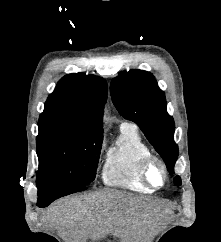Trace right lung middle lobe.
<instances>
[{"label":"right lung middle lobe","instance_id":"1","mask_svg":"<svg viewBox=\"0 0 221 242\" xmlns=\"http://www.w3.org/2000/svg\"><path fill=\"white\" fill-rule=\"evenodd\" d=\"M103 136L67 127L39 128L37 185L85 186L96 176Z\"/></svg>","mask_w":221,"mask_h":242}]
</instances>
